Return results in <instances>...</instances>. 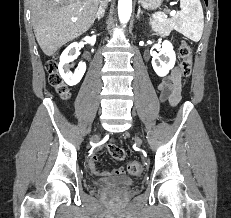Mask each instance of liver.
<instances>
[{
    "instance_id": "liver-1",
    "label": "liver",
    "mask_w": 231,
    "mask_h": 218,
    "mask_svg": "<svg viewBox=\"0 0 231 218\" xmlns=\"http://www.w3.org/2000/svg\"><path fill=\"white\" fill-rule=\"evenodd\" d=\"M36 40L47 56L85 33L97 16L99 0H30ZM72 18L77 21L73 22Z\"/></svg>"
}]
</instances>
